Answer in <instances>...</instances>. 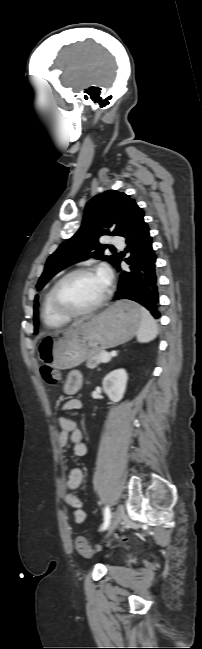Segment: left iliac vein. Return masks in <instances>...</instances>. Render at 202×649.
Returning a JSON list of instances; mask_svg holds the SVG:
<instances>
[{"label": "left iliac vein", "instance_id": "1", "mask_svg": "<svg viewBox=\"0 0 202 649\" xmlns=\"http://www.w3.org/2000/svg\"><path fill=\"white\" fill-rule=\"evenodd\" d=\"M124 515H125L124 507L122 504H119L114 513L112 523L109 526V530L106 535V538H108L114 532V530L117 528V526L121 523L122 519L124 518Z\"/></svg>", "mask_w": 202, "mask_h": 649}]
</instances>
